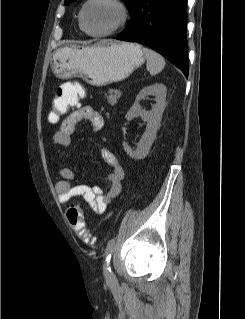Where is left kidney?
<instances>
[{
	"label": "left kidney",
	"instance_id": "obj_1",
	"mask_svg": "<svg viewBox=\"0 0 245 319\" xmlns=\"http://www.w3.org/2000/svg\"><path fill=\"white\" fill-rule=\"evenodd\" d=\"M148 95L155 96L156 101V104L151 111L143 110L139 104V101ZM166 95L167 88L164 84L156 83L144 87L137 95L135 103L127 112L126 119L128 121L136 117H141L147 122L146 131L141 137L136 150H132L126 142H123V148L131 158L143 159L147 156L160 127L162 114L166 106Z\"/></svg>",
	"mask_w": 245,
	"mask_h": 319
}]
</instances>
